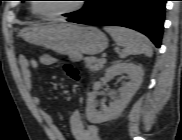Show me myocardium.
Here are the masks:
<instances>
[{"label": "myocardium", "mask_w": 182, "mask_h": 140, "mask_svg": "<svg viewBox=\"0 0 182 140\" xmlns=\"http://www.w3.org/2000/svg\"><path fill=\"white\" fill-rule=\"evenodd\" d=\"M83 7V4L81 1H79L78 3H76L72 8L64 10V11H60V12H55V13H51V14H42L38 11L36 4H33L32 9L33 12L40 18L42 19H55L61 16H65L74 12L79 11L81 8Z\"/></svg>", "instance_id": "f54148a6"}]
</instances>
